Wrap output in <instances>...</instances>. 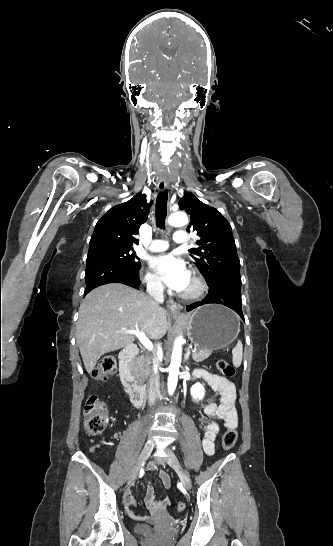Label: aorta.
<instances>
[{
    "label": "aorta",
    "instance_id": "1",
    "mask_svg": "<svg viewBox=\"0 0 333 546\" xmlns=\"http://www.w3.org/2000/svg\"><path fill=\"white\" fill-rule=\"evenodd\" d=\"M188 217L184 212H176L169 216L168 224L174 227H182L188 224ZM184 343V338L179 336L174 345V349L171 356V363L169 366V376H168V393L172 395L177 387L179 368L182 358V345Z\"/></svg>",
    "mask_w": 333,
    "mask_h": 546
}]
</instances>
